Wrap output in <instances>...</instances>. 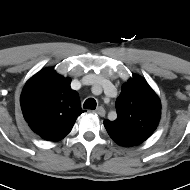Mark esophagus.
Returning a JSON list of instances; mask_svg holds the SVG:
<instances>
[{
    "mask_svg": "<svg viewBox=\"0 0 190 190\" xmlns=\"http://www.w3.org/2000/svg\"><path fill=\"white\" fill-rule=\"evenodd\" d=\"M92 112H94L95 114H98L102 117L105 116V114H106V111L102 106L97 107L96 110H94Z\"/></svg>",
    "mask_w": 190,
    "mask_h": 190,
    "instance_id": "34e87169",
    "label": "esophagus"
}]
</instances>
